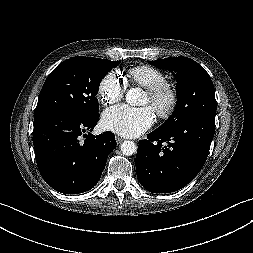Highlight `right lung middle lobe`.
I'll use <instances>...</instances> for the list:
<instances>
[{
    "mask_svg": "<svg viewBox=\"0 0 253 253\" xmlns=\"http://www.w3.org/2000/svg\"><path fill=\"white\" fill-rule=\"evenodd\" d=\"M120 61L92 57H72L59 64L46 79L34 118L47 113L65 114L77 119L98 115L96 95L104 76Z\"/></svg>",
    "mask_w": 253,
    "mask_h": 253,
    "instance_id": "1",
    "label": "right lung middle lobe"
}]
</instances>
